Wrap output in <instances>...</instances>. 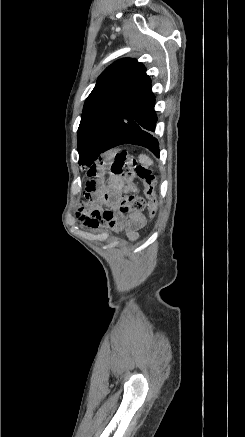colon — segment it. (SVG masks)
I'll return each instance as SVG.
<instances>
[{
	"label": "colon",
	"instance_id": "colon-1",
	"mask_svg": "<svg viewBox=\"0 0 245 437\" xmlns=\"http://www.w3.org/2000/svg\"><path fill=\"white\" fill-rule=\"evenodd\" d=\"M111 172L121 176L126 183V190L119 202L120 214L139 212L146 207L149 209L150 218H154L158 211V199L155 189L156 177L153 171L139 164L127 151H121L114 156V166ZM141 179L147 200L136 194L134 179Z\"/></svg>",
	"mask_w": 245,
	"mask_h": 437
}]
</instances>
